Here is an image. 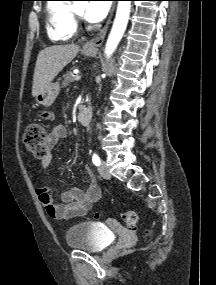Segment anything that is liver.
<instances>
[{
	"mask_svg": "<svg viewBox=\"0 0 216 285\" xmlns=\"http://www.w3.org/2000/svg\"><path fill=\"white\" fill-rule=\"evenodd\" d=\"M79 45H55L39 52L33 76L32 95L36 97L70 63L79 52Z\"/></svg>",
	"mask_w": 216,
	"mask_h": 285,
	"instance_id": "6515ba94",
	"label": "liver"
}]
</instances>
